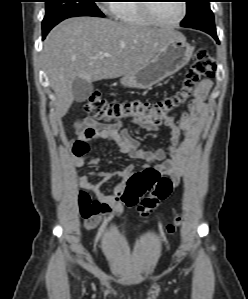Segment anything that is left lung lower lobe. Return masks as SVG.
I'll use <instances>...</instances> for the list:
<instances>
[{
  "instance_id": "0a47b994",
  "label": "left lung lower lobe",
  "mask_w": 248,
  "mask_h": 299,
  "mask_svg": "<svg viewBox=\"0 0 248 299\" xmlns=\"http://www.w3.org/2000/svg\"><path fill=\"white\" fill-rule=\"evenodd\" d=\"M202 31L210 34L217 41V43H219L215 28H204Z\"/></svg>"
}]
</instances>
